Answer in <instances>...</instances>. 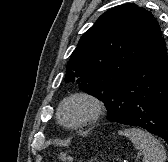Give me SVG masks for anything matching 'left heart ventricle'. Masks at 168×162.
I'll list each match as a JSON object with an SVG mask.
<instances>
[{"mask_svg": "<svg viewBox=\"0 0 168 162\" xmlns=\"http://www.w3.org/2000/svg\"><path fill=\"white\" fill-rule=\"evenodd\" d=\"M82 115V109L77 106H71L66 109L64 116L66 120L73 122L80 118Z\"/></svg>", "mask_w": 168, "mask_h": 162, "instance_id": "1", "label": "left heart ventricle"}]
</instances>
